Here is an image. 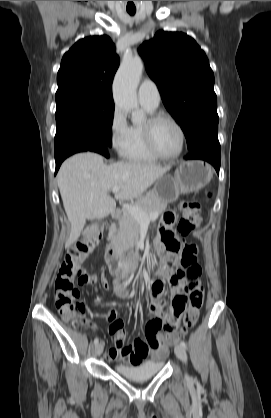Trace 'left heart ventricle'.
<instances>
[{
  "instance_id": "left-heart-ventricle-1",
  "label": "left heart ventricle",
  "mask_w": 271,
  "mask_h": 418,
  "mask_svg": "<svg viewBox=\"0 0 271 418\" xmlns=\"http://www.w3.org/2000/svg\"><path fill=\"white\" fill-rule=\"evenodd\" d=\"M154 140L158 150L164 155H174L180 148V134L168 121H161L154 131Z\"/></svg>"
}]
</instances>
